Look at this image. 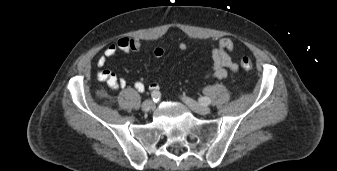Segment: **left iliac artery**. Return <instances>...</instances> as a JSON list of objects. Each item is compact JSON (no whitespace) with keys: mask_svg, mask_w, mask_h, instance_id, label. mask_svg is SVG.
<instances>
[{"mask_svg":"<svg viewBox=\"0 0 337 171\" xmlns=\"http://www.w3.org/2000/svg\"><path fill=\"white\" fill-rule=\"evenodd\" d=\"M199 102L202 104V105H209L211 103V100L210 98L208 97H201L199 99Z\"/></svg>","mask_w":337,"mask_h":171,"instance_id":"1","label":"left iliac artery"}]
</instances>
